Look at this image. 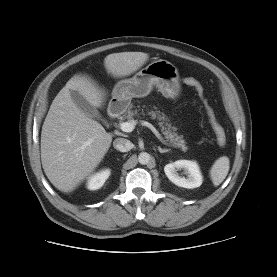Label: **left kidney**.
Masks as SVG:
<instances>
[{"instance_id":"1","label":"left kidney","mask_w":277,"mask_h":277,"mask_svg":"<svg viewBox=\"0 0 277 277\" xmlns=\"http://www.w3.org/2000/svg\"><path fill=\"white\" fill-rule=\"evenodd\" d=\"M179 169H183L187 177L179 176L177 172ZM164 172L172 183L183 188H197L203 181L199 166L195 161L177 160L167 164L164 167Z\"/></svg>"}]
</instances>
